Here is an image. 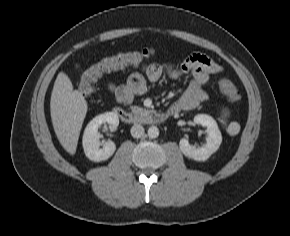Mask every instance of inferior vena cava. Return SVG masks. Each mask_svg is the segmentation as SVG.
I'll return each instance as SVG.
<instances>
[{
	"label": "inferior vena cava",
	"mask_w": 290,
	"mask_h": 236,
	"mask_svg": "<svg viewBox=\"0 0 290 236\" xmlns=\"http://www.w3.org/2000/svg\"><path fill=\"white\" fill-rule=\"evenodd\" d=\"M131 135L134 137V138H140L144 135V127L140 124H134L132 127H131Z\"/></svg>",
	"instance_id": "inferior-vena-cava-1"
}]
</instances>
